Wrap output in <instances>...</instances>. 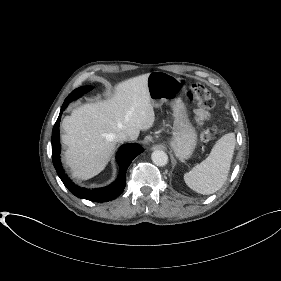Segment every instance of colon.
Segmentation results:
<instances>
[{
  "instance_id": "obj_1",
  "label": "colon",
  "mask_w": 281,
  "mask_h": 281,
  "mask_svg": "<svg viewBox=\"0 0 281 281\" xmlns=\"http://www.w3.org/2000/svg\"><path fill=\"white\" fill-rule=\"evenodd\" d=\"M188 98L194 101L201 111H210L214 108L215 102L210 92L206 87L199 83L192 84L188 92ZM217 133V127L211 126L206 128L201 133V140L203 142L211 141Z\"/></svg>"
}]
</instances>
